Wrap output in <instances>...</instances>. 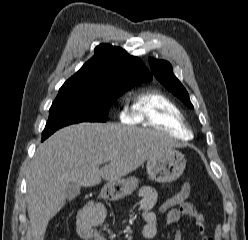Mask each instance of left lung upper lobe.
I'll list each match as a JSON object with an SVG mask.
<instances>
[{
	"label": "left lung upper lobe",
	"mask_w": 248,
	"mask_h": 240,
	"mask_svg": "<svg viewBox=\"0 0 248 240\" xmlns=\"http://www.w3.org/2000/svg\"><path fill=\"white\" fill-rule=\"evenodd\" d=\"M149 63L153 74L163 84V86H165V88H167L175 96L179 97L186 106L193 108L188 92L173 74L170 63L164 60H157L153 58L149 59Z\"/></svg>",
	"instance_id": "left-lung-upper-lobe-1"
}]
</instances>
